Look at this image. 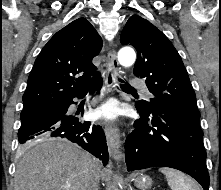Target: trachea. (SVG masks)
I'll list each match as a JSON object with an SVG mask.
<instances>
[{"mask_svg": "<svg viewBox=\"0 0 221 190\" xmlns=\"http://www.w3.org/2000/svg\"><path fill=\"white\" fill-rule=\"evenodd\" d=\"M119 82L121 83L120 86H121L123 89L135 91V89H134L133 87H131V86H129L128 84H126L123 80L119 79Z\"/></svg>", "mask_w": 221, "mask_h": 190, "instance_id": "obj_1", "label": "trachea"}]
</instances>
